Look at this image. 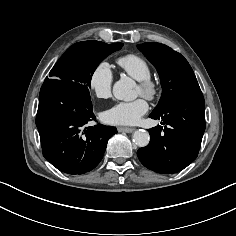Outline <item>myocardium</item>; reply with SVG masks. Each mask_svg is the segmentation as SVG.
<instances>
[{
    "mask_svg": "<svg viewBox=\"0 0 236 236\" xmlns=\"http://www.w3.org/2000/svg\"><path fill=\"white\" fill-rule=\"evenodd\" d=\"M138 86L141 90V94L149 100H154L160 92V86L158 82L149 78H145L138 81Z\"/></svg>",
    "mask_w": 236,
    "mask_h": 236,
    "instance_id": "f54148a6",
    "label": "myocardium"
}]
</instances>
